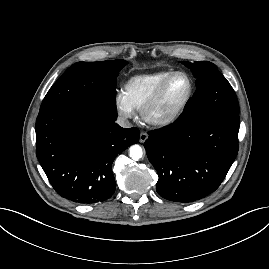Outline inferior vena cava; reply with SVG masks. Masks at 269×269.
I'll return each instance as SVG.
<instances>
[{"label":"inferior vena cava","instance_id":"inferior-vena-cava-1","mask_svg":"<svg viewBox=\"0 0 269 269\" xmlns=\"http://www.w3.org/2000/svg\"><path fill=\"white\" fill-rule=\"evenodd\" d=\"M117 124L123 128H130L131 127V123L123 117H118L117 118Z\"/></svg>","mask_w":269,"mask_h":269}]
</instances>
